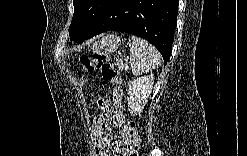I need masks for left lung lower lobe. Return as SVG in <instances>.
I'll use <instances>...</instances> for the list:
<instances>
[{"mask_svg":"<svg viewBox=\"0 0 247 156\" xmlns=\"http://www.w3.org/2000/svg\"><path fill=\"white\" fill-rule=\"evenodd\" d=\"M178 4V0H112L87 39L106 31L131 33L153 44L167 63L172 51Z\"/></svg>","mask_w":247,"mask_h":156,"instance_id":"0a47b994","label":"left lung lower lobe"}]
</instances>
